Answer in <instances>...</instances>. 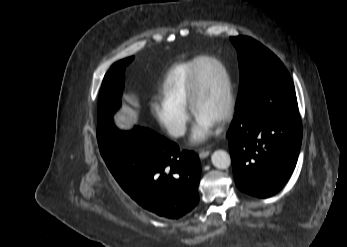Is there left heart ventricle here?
<instances>
[{"mask_svg":"<svg viewBox=\"0 0 347 247\" xmlns=\"http://www.w3.org/2000/svg\"><path fill=\"white\" fill-rule=\"evenodd\" d=\"M200 90L196 115L217 122L226 103V83L221 69L211 62H204L199 70Z\"/></svg>","mask_w":347,"mask_h":247,"instance_id":"left-heart-ventricle-1","label":"left heart ventricle"}]
</instances>
